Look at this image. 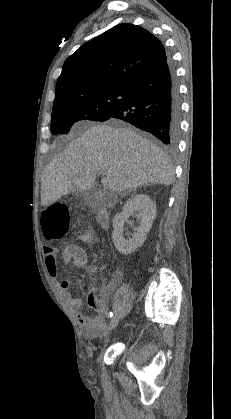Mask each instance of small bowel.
<instances>
[{
	"label": "small bowel",
	"mask_w": 231,
	"mask_h": 419,
	"mask_svg": "<svg viewBox=\"0 0 231 419\" xmlns=\"http://www.w3.org/2000/svg\"><path fill=\"white\" fill-rule=\"evenodd\" d=\"M81 240L88 243L95 241L94 235L87 231L81 236ZM45 263L51 279L56 284L60 294L65 299L68 307L77 312L78 321L82 327V332L85 338L93 340L99 337L106 329V321L102 314L106 310L104 301L98 299L93 292L88 295V304L91 308L95 309L101 315L96 317H88L81 312L83 306L82 298L74 296L69 291V282L60 280L58 263H57V250L52 247L44 248ZM61 257L63 264L72 263L77 268H84L88 263V255L86 251L74 244H68L61 250ZM81 285V284H80Z\"/></svg>",
	"instance_id": "1"
}]
</instances>
